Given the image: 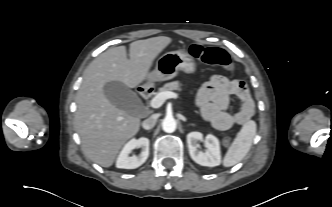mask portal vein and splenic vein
Wrapping results in <instances>:
<instances>
[{"instance_id": "18ae733b", "label": "portal vein and splenic vein", "mask_w": 332, "mask_h": 207, "mask_svg": "<svg viewBox=\"0 0 332 207\" xmlns=\"http://www.w3.org/2000/svg\"><path fill=\"white\" fill-rule=\"evenodd\" d=\"M169 98H178L177 93L171 91H165L157 94L150 102L152 108H159Z\"/></svg>"}]
</instances>
